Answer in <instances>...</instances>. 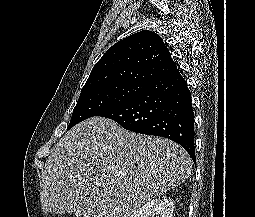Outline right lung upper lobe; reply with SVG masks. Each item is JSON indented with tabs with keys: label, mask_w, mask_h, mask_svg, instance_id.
<instances>
[{
	"label": "right lung upper lobe",
	"mask_w": 255,
	"mask_h": 217,
	"mask_svg": "<svg viewBox=\"0 0 255 217\" xmlns=\"http://www.w3.org/2000/svg\"><path fill=\"white\" fill-rule=\"evenodd\" d=\"M178 70L162 38L144 30L114 44L93 67L82 91L111 84L148 85Z\"/></svg>",
	"instance_id": "obj_1"
}]
</instances>
